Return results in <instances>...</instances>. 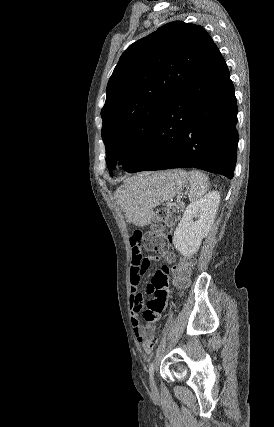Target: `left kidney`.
Here are the masks:
<instances>
[{
  "label": "left kidney",
  "mask_w": 274,
  "mask_h": 427,
  "mask_svg": "<svg viewBox=\"0 0 274 427\" xmlns=\"http://www.w3.org/2000/svg\"><path fill=\"white\" fill-rule=\"evenodd\" d=\"M220 200L219 192L213 190L184 210L173 235V243L182 255H194L198 251L203 237L213 225Z\"/></svg>",
  "instance_id": "5707ae66"
}]
</instances>
